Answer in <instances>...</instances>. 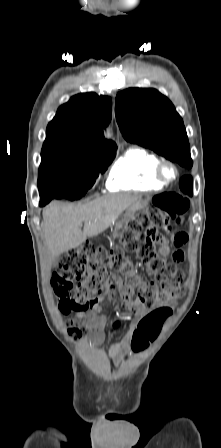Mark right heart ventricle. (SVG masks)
I'll return each instance as SVG.
<instances>
[{"label":"right heart ventricle","instance_id":"obj_1","mask_svg":"<svg viewBox=\"0 0 221 448\" xmlns=\"http://www.w3.org/2000/svg\"><path fill=\"white\" fill-rule=\"evenodd\" d=\"M159 158L144 148L128 149L111 167L106 186L111 191L160 190L154 175Z\"/></svg>","mask_w":221,"mask_h":448}]
</instances>
